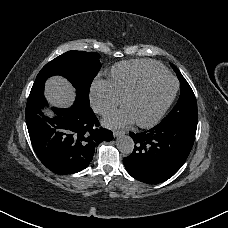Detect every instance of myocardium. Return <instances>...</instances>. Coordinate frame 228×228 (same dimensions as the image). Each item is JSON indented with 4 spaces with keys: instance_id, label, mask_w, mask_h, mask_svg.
<instances>
[{
    "instance_id": "f54148a6",
    "label": "myocardium",
    "mask_w": 228,
    "mask_h": 228,
    "mask_svg": "<svg viewBox=\"0 0 228 228\" xmlns=\"http://www.w3.org/2000/svg\"><path fill=\"white\" fill-rule=\"evenodd\" d=\"M163 78H167L170 79L173 82V88L171 90L170 95L168 96V98L166 99V101L163 103V105L161 106V108L159 109V111L155 114V116L148 122H141V121H137V124L142 127V128H152L154 127L163 117V115L165 114V112L167 111V109L169 108L170 104L172 103L177 88H178V81L176 80L175 77H173L170 74H157L151 77H148L146 79H144L137 87H135L126 97L125 99V104L128 106V104L130 103V101L132 99H134L135 97H137L139 94H141L151 83H153L154 81L158 80V79H163Z\"/></svg>"
}]
</instances>
